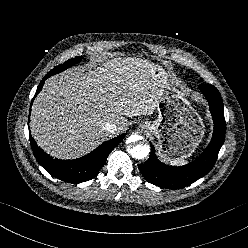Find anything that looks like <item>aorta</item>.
I'll return each mask as SVG.
<instances>
[{"mask_svg": "<svg viewBox=\"0 0 248 248\" xmlns=\"http://www.w3.org/2000/svg\"><path fill=\"white\" fill-rule=\"evenodd\" d=\"M141 137L138 135H133L129 138L130 142H135L137 140H140ZM127 152L133 157L138 160H142L146 157H148L150 153V147L147 144H131L127 146Z\"/></svg>", "mask_w": 248, "mask_h": 248, "instance_id": "762f6f07", "label": "aorta"}]
</instances>
